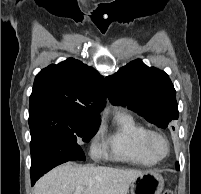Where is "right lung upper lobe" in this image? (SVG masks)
Returning <instances> with one entry per match:
<instances>
[{"label": "right lung upper lobe", "mask_w": 201, "mask_h": 194, "mask_svg": "<svg viewBox=\"0 0 201 194\" xmlns=\"http://www.w3.org/2000/svg\"><path fill=\"white\" fill-rule=\"evenodd\" d=\"M104 78L74 58L41 70L34 81L30 104L58 102L75 115L99 118L105 106Z\"/></svg>", "instance_id": "obj_1"}]
</instances>
